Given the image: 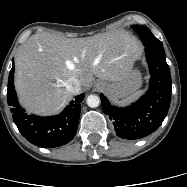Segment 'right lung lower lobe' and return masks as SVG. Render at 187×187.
Instances as JSON below:
<instances>
[{"mask_svg": "<svg viewBox=\"0 0 187 187\" xmlns=\"http://www.w3.org/2000/svg\"><path fill=\"white\" fill-rule=\"evenodd\" d=\"M13 74L14 62L8 79L7 102L20 133L32 144L44 148L58 147L71 141L77 131L84 94L76 96L59 115L41 117L29 114L17 100Z\"/></svg>", "mask_w": 187, "mask_h": 187, "instance_id": "1", "label": "right lung lower lobe"}]
</instances>
